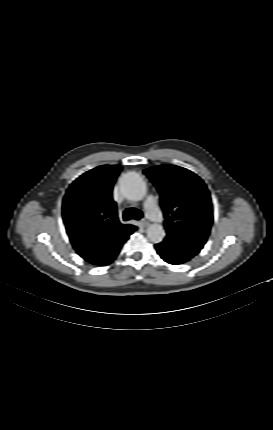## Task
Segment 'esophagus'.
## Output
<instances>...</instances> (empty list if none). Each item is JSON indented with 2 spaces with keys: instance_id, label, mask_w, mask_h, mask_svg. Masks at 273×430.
<instances>
[{
  "instance_id": "obj_1",
  "label": "esophagus",
  "mask_w": 273,
  "mask_h": 430,
  "mask_svg": "<svg viewBox=\"0 0 273 430\" xmlns=\"http://www.w3.org/2000/svg\"><path fill=\"white\" fill-rule=\"evenodd\" d=\"M141 224H142V226H143V227H148V226H149V222H148V221H146L145 219H143V220L141 221Z\"/></svg>"
}]
</instances>
